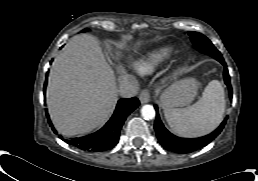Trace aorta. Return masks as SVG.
Here are the masks:
<instances>
[{
    "mask_svg": "<svg viewBox=\"0 0 258 181\" xmlns=\"http://www.w3.org/2000/svg\"><path fill=\"white\" fill-rule=\"evenodd\" d=\"M141 114L144 119L151 120L155 117V109L152 105H144L141 108Z\"/></svg>",
    "mask_w": 258,
    "mask_h": 181,
    "instance_id": "762f6f07",
    "label": "aorta"
}]
</instances>
